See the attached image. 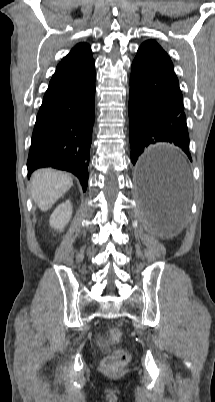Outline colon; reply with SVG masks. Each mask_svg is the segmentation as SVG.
<instances>
[{"label": "colon", "mask_w": 215, "mask_h": 402, "mask_svg": "<svg viewBox=\"0 0 215 402\" xmlns=\"http://www.w3.org/2000/svg\"><path fill=\"white\" fill-rule=\"evenodd\" d=\"M121 339V332L117 328H110L107 331L106 340L110 343H117ZM128 362V354L122 349H118L108 355L104 361L103 366L108 371H117L123 368Z\"/></svg>", "instance_id": "1"}]
</instances>
